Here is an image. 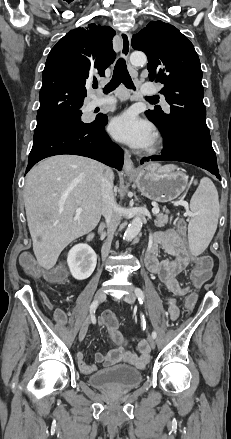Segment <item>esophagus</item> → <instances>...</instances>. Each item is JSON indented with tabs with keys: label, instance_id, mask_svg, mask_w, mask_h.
Masks as SVG:
<instances>
[{
	"label": "esophagus",
	"instance_id": "1",
	"mask_svg": "<svg viewBox=\"0 0 231 439\" xmlns=\"http://www.w3.org/2000/svg\"><path fill=\"white\" fill-rule=\"evenodd\" d=\"M121 52L120 55L124 59H128L131 49V35L128 32H121ZM123 169L126 173H131L135 171L131 155L128 150L124 149V165Z\"/></svg>",
	"mask_w": 231,
	"mask_h": 439
}]
</instances>
